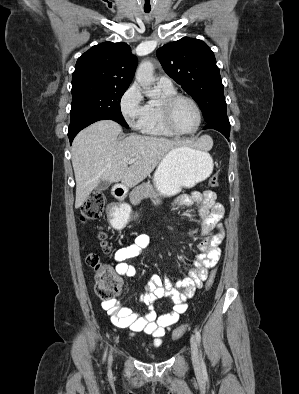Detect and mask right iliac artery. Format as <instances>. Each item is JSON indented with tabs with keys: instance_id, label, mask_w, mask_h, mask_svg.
Instances as JSON below:
<instances>
[{
	"instance_id": "82829eb1",
	"label": "right iliac artery",
	"mask_w": 299,
	"mask_h": 394,
	"mask_svg": "<svg viewBox=\"0 0 299 394\" xmlns=\"http://www.w3.org/2000/svg\"><path fill=\"white\" fill-rule=\"evenodd\" d=\"M105 357H106V351H105V353H104V357H103V360L105 359Z\"/></svg>"
}]
</instances>
